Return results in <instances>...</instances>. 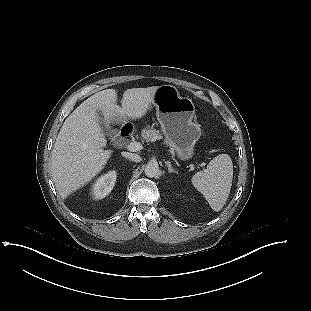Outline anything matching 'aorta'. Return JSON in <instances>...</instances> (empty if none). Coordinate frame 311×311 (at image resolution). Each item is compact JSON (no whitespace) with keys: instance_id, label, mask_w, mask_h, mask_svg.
<instances>
[{"instance_id":"762f6f07","label":"aorta","mask_w":311,"mask_h":311,"mask_svg":"<svg viewBox=\"0 0 311 311\" xmlns=\"http://www.w3.org/2000/svg\"><path fill=\"white\" fill-rule=\"evenodd\" d=\"M145 175L149 178H155L159 176V165L157 162L155 161H151L149 163H147V165L145 166Z\"/></svg>"}]
</instances>
